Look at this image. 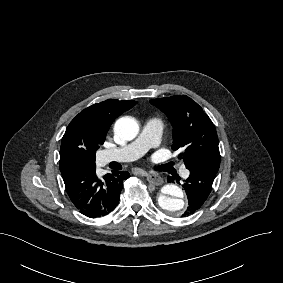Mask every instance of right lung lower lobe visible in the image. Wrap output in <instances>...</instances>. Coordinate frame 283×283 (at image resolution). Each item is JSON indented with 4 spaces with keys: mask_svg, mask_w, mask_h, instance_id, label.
<instances>
[{
    "mask_svg": "<svg viewBox=\"0 0 283 283\" xmlns=\"http://www.w3.org/2000/svg\"><path fill=\"white\" fill-rule=\"evenodd\" d=\"M99 179L96 165L73 167L61 172L66 192L74 206L90 218L109 214L119 202L128 172L112 171Z\"/></svg>",
    "mask_w": 283,
    "mask_h": 283,
    "instance_id": "obj_1",
    "label": "right lung lower lobe"
}]
</instances>
